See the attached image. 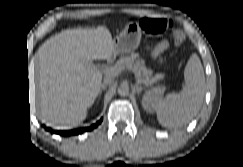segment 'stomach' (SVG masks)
Listing matches in <instances>:
<instances>
[{
	"instance_id": "stomach-1",
	"label": "stomach",
	"mask_w": 243,
	"mask_h": 167,
	"mask_svg": "<svg viewBox=\"0 0 243 167\" xmlns=\"http://www.w3.org/2000/svg\"><path fill=\"white\" fill-rule=\"evenodd\" d=\"M141 41V28L137 22H129L114 41L115 54H127L133 52Z\"/></svg>"
}]
</instances>
